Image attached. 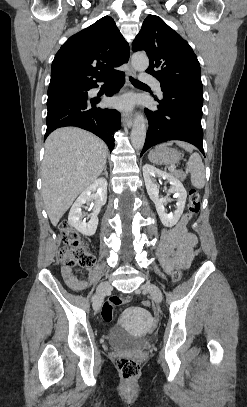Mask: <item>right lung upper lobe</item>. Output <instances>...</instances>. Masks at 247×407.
Wrapping results in <instances>:
<instances>
[{
  "label": "right lung upper lobe",
  "instance_id": "right-lung-upper-lobe-1",
  "mask_svg": "<svg viewBox=\"0 0 247 407\" xmlns=\"http://www.w3.org/2000/svg\"><path fill=\"white\" fill-rule=\"evenodd\" d=\"M129 45L114 20L105 16L71 36L54 57L50 89L92 87L128 61Z\"/></svg>",
  "mask_w": 247,
  "mask_h": 407
}]
</instances>
